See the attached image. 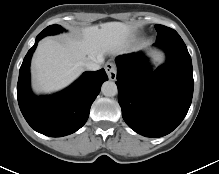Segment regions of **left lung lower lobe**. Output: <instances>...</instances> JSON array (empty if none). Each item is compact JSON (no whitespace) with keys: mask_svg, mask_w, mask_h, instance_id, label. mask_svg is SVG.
Segmentation results:
<instances>
[{"mask_svg":"<svg viewBox=\"0 0 219 174\" xmlns=\"http://www.w3.org/2000/svg\"><path fill=\"white\" fill-rule=\"evenodd\" d=\"M156 46L167 61L152 71L143 53L117 58L118 101L122 116L135 132L162 137L184 119L193 96L191 56L182 39H165Z\"/></svg>","mask_w":219,"mask_h":174,"instance_id":"0a47b994","label":"left lung lower lobe"}]
</instances>
